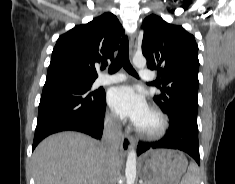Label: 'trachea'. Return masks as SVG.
Wrapping results in <instances>:
<instances>
[{
    "instance_id": "trachea-1",
    "label": "trachea",
    "mask_w": 235,
    "mask_h": 184,
    "mask_svg": "<svg viewBox=\"0 0 235 184\" xmlns=\"http://www.w3.org/2000/svg\"><path fill=\"white\" fill-rule=\"evenodd\" d=\"M121 67H124V69L130 75H133L134 77L139 78L137 72L134 70V68L132 67V65L130 64V61H129L127 37H123L121 44H120L119 51H118V55L109 67V73H115Z\"/></svg>"
}]
</instances>
